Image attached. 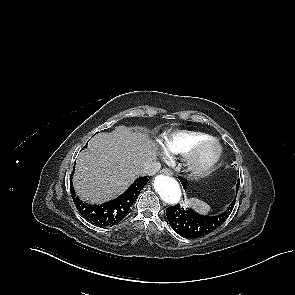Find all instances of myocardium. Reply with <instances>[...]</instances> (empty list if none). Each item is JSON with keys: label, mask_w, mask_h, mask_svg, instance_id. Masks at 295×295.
<instances>
[{"label": "myocardium", "mask_w": 295, "mask_h": 295, "mask_svg": "<svg viewBox=\"0 0 295 295\" xmlns=\"http://www.w3.org/2000/svg\"><path fill=\"white\" fill-rule=\"evenodd\" d=\"M208 147L213 148L211 155L207 159L201 160L202 152ZM222 154L223 147L220 142L209 137L196 143L189 149L185 154V164L190 173L196 176H203L210 173L217 166Z\"/></svg>", "instance_id": "obj_1"}]
</instances>
